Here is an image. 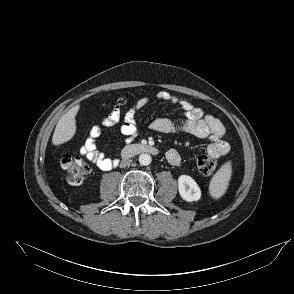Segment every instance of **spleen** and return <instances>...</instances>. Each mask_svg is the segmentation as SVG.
<instances>
[{
	"instance_id": "obj_1",
	"label": "spleen",
	"mask_w": 294,
	"mask_h": 294,
	"mask_svg": "<svg viewBox=\"0 0 294 294\" xmlns=\"http://www.w3.org/2000/svg\"><path fill=\"white\" fill-rule=\"evenodd\" d=\"M231 173V164L226 163L213 176L209 186L210 194L213 198L218 199L225 193L231 178Z\"/></svg>"
}]
</instances>
